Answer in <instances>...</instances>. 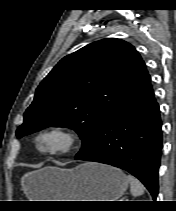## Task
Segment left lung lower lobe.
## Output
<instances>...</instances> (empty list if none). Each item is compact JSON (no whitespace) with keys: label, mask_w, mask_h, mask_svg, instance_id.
Listing matches in <instances>:
<instances>
[{"label":"left lung lower lobe","mask_w":176,"mask_h":211,"mask_svg":"<svg viewBox=\"0 0 176 211\" xmlns=\"http://www.w3.org/2000/svg\"><path fill=\"white\" fill-rule=\"evenodd\" d=\"M161 125L159 105L151 86L115 110L92 145L75 159L124 169L137 177L156 199L162 150Z\"/></svg>","instance_id":"left-lung-lower-lobe-1"}]
</instances>
